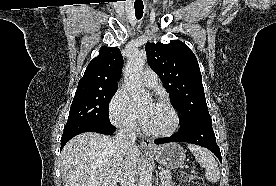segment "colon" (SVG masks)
Returning a JSON list of instances; mask_svg holds the SVG:
<instances>
[{"mask_svg":"<svg viewBox=\"0 0 276 186\" xmlns=\"http://www.w3.org/2000/svg\"><path fill=\"white\" fill-rule=\"evenodd\" d=\"M175 186H206L204 181L196 175L177 172L174 176Z\"/></svg>","mask_w":276,"mask_h":186,"instance_id":"obj_1","label":"colon"}]
</instances>
